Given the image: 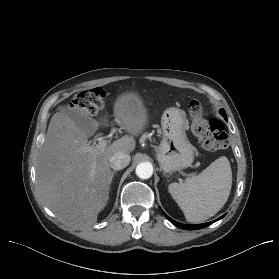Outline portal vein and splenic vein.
<instances>
[{"label":"portal vein and splenic vein","instance_id":"obj_1","mask_svg":"<svg viewBox=\"0 0 279 279\" xmlns=\"http://www.w3.org/2000/svg\"><path fill=\"white\" fill-rule=\"evenodd\" d=\"M107 141L106 140H100L99 143L97 145H92V146H86L84 147V149L87 151V152H94L96 148H104L107 146Z\"/></svg>","mask_w":279,"mask_h":279}]
</instances>
